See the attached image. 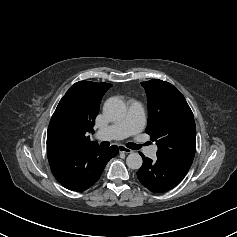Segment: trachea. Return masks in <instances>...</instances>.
Segmentation results:
<instances>
[{
  "label": "trachea",
  "mask_w": 237,
  "mask_h": 237,
  "mask_svg": "<svg viewBox=\"0 0 237 237\" xmlns=\"http://www.w3.org/2000/svg\"><path fill=\"white\" fill-rule=\"evenodd\" d=\"M109 145H110V143L107 142V141H104V142L101 143L102 147H108ZM146 145H148V143H146ZM127 147L130 148V149H133V150H137V149H140L141 145H138V144H135V143H128Z\"/></svg>",
  "instance_id": "trachea-1"
}]
</instances>
